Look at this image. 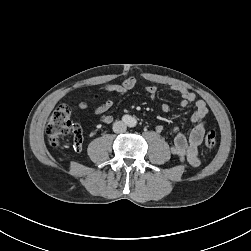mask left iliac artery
I'll list each match as a JSON object with an SVG mask.
<instances>
[{
  "label": "left iliac artery",
  "instance_id": "obj_1",
  "mask_svg": "<svg viewBox=\"0 0 251 251\" xmlns=\"http://www.w3.org/2000/svg\"><path fill=\"white\" fill-rule=\"evenodd\" d=\"M136 124H137V121H136V119H131V121H130V126L131 127H134V126H136Z\"/></svg>",
  "mask_w": 251,
  "mask_h": 251
}]
</instances>
